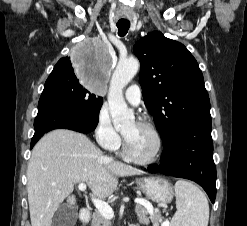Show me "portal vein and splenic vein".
<instances>
[{"label":"portal vein and splenic vein","mask_w":247,"mask_h":226,"mask_svg":"<svg viewBox=\"0 0 247 226\" xmlns=\"http://www.w3.org/2000/svg\"><path fill=\"white\" fill-rule=\"evenodd\" d=\"M78 189L80 191H85L86 190V184L85 183H80L78 185ZM92 202L94 204V206L96 207V209L105 217L108 219H112L114 217V212L112 210V208L110 207V205H108V203L100 200V199H96V198H92ZM135 203L137 204H141L144 205L148 208V210L150 212H153V207L150 204H147V202L144 199H140V198H136L135 199ZM162 226H169V221H165L163 223Z\"/></svg>","instance_id":"18ae733b"}]
</instances>
